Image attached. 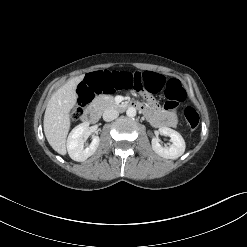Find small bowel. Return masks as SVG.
Returning <instances> with one entry per match:
<instances>
[{
    "mask_svg": "<svg viewBox=\"0 0 247 247\" xmlns=\"http://www.w3.org/2000/svg\"><path fill=\"white\" fill-rule=\"evenodd\" d=\"M144 105V113L154 127H175L177 125L178 118L174 108L167 105L161 108L150 99Z\"/></svg>",
    "mask_w": 247,
    "mask_h": 247,
    "instance_id": "small-bowel-1",
    "label": "small bowel"
}]
</instances>
